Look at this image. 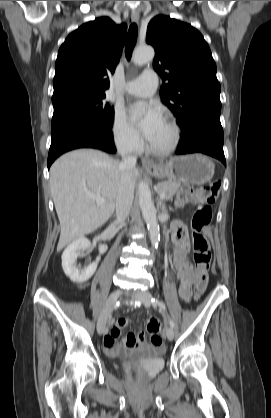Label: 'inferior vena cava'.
<instances>
[{"label":"inferior vena cava","mask_w":271,"mask_h":418,"mask_svg":"<svg viewBox=\"0 0 271 418\" xmlns=\"http://www.w3.org/2000/svg\"><path fill=\"white\" fill-rule=\"evenodd\" d=\"M120 154L122 156L125 172L122 174L118 186L116 197V219L117 222L123 223L129 215L134 198V191L130 186L128 170L136 165L137 159L136 157L129 155L125 150H121Z\"/></svg>","instance_id":"1"}]
</instances>
